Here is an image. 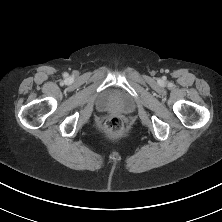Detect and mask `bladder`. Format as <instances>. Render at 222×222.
<instances>
[{"label":"bladder","mask_w":222,"mask_h":222,"mask_svg":"<svg viewBox=\"0 0 222 222\" xmlns=\"http://www.w3.org/2000/svg\"><path fill=\"white\" fill-rule=\"evenodd\" d=\"M96 104L102 111H118L129 113L133 111L135 104L132 97L119 91H106L100 94Z\"/></svg>","instance_id":"31cf9c89"}]
</instances>
